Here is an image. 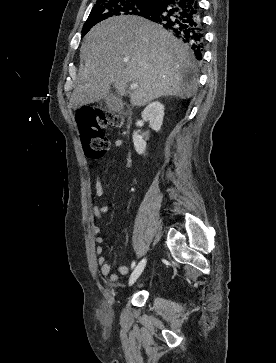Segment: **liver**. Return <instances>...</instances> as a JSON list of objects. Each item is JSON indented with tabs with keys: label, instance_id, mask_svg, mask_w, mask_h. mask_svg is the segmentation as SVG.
Here are the masks:
<instances>
[{
	"label": "liver",
	"instance_id": "6515ba94",
	"mask_svg": "<svg viewBox=\"0 0 276 363\" xmlns=\"http://www.w3.org/2000/svg\"><path fill=\"white\" fill-rule=\"evenodd\" d=\"M84 67L74 89V109L105 98L114 85L134 106L162 96L189 98L197 92V66L189 46L142 17L119 16L94 26L80 49Z\"/></svg>",
	"mask_w": 276,
	"mask_h": 363
}]
</instances>
